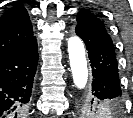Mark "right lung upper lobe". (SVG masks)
<instances>
[{"instance_id": "1", "label": "right lung upper lobe", "mask_w": 133, "mask_h": 118, "mask_svg": "<svg viewBox=\"0 0 133 118\" xmlns=\"http://www.w3.org/2000/svg\"><path fill=\"white\" fill-rule=\"evenodd\" d=\"M35 39L27 10L18 3L0 18V57Z\"/></svg>"}]
</instances>
